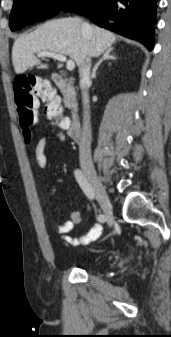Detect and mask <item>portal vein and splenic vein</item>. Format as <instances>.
Listing matches in <instances>:
<instances>
[{"label":"portal vein and splenic vein","mask_w":171,"mask_h":337,"mask_svg":"<svg viewBox=\"0 0 171 337\" xmlns=\"http://www.w3.org/2000/svg\"><path fill=\"white\" fill-rule=\"evenodd\" d=\"M39 57H51L57 59L60 62H66V67L68 70H73L75 68V63L72 60H67L65 55L50 52V51H43L38 53Z\"/></svg>","instance_id":"portal-vein-and-splenic-vein-1"}]
</instances>
